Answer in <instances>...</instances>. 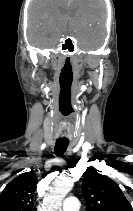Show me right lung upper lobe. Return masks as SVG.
<instances>
[{"instance_id": "cb5924a9", "label": "right lung upper lobe", "mask_w": 133, "mask_h": 211, "mask_svg": "<svg viewBox=\"0 0 133 211\" xmlns=\"http://www.w3.org/2000/svg\"><path fill=\"white\" fill-rule=\"evenodd\" d=\"M37 179L26 172L11 181L0 195V211H31Z\"/></svg>"}]
</instances>
